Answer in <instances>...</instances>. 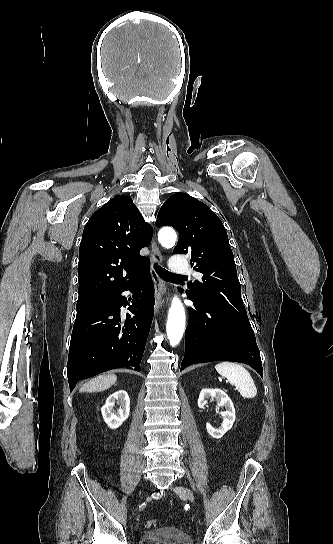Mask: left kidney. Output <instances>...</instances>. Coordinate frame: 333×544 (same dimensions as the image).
<instances>
[{
	"mask_svg": "<svg viewBox=\"0 0 333 544\" xmlns=\"http://www.w3.org/2000/svg\"><path fill=\"white\" fill-rule=\"evenodd\" d=\"M216 399L219 407H225L226 411L221 412L223 417V423L216 429L211 426L210 423L206 424L207 432L215 439H220L223 435L229 431L235 421V408L229 396L221 389H202L198 398V407L204 409L208 399Z\"/></svg>",
	"mask_w": 333,
	"mask_h": 544,
	"instance_id": "1",
	"label": "left kidney"
}]
</instances>
